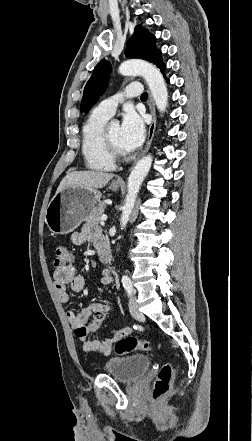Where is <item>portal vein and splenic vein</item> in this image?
Returning a JSON list of instances; mask_svg holds the SVG:
<instances>
[{"instance_id":"obj_1","label":"portal vein and splenic vein","mask_w":252,"mask_h":441,"mask_svg":"<svg viewBox=\"0 0 252 441\" xmlns=\"http://www.w3.org/2000/svg\"><path fill=\"white\" fill-rule=\"evenodd\" d=\"M107 220V216L106 215H102L101 217H100V221L101 222H104V221H106Z\"/></svg>"}]
</instances>
